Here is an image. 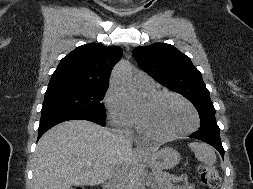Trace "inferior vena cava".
I'll use <instances>...</instances> for the list:
<instances>
[{"label":"inferior vena cava","mask_w":253,"mask_h":189,"mask_svg":"<svg viewBox=\"0 0 253 189\" xmlns=\"http://www.w3.org/2000/svg\"><path fill=\"white\" fill-rule=\"evenodd\" d=\"M114 138L120 147L127 150L132 149V144L120 131L114 134ZM128 176V168L124 166H114L108 175L107 189H125Z\"/></svg>","instance_id":"1"}]
</instances>
